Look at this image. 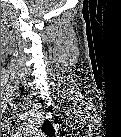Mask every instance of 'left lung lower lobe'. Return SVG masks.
<instances>
[{"mask_svg": "<svg viewBox=\"0 0 121 137\" xmlns=\"http://www.w3.org/2000/svg\"><path fill=\"white\" fill-rule=\"evenodd\" d=\"M54 131L52 133H50V135H53Z\"/></svg>", "mask_w": 121, "mask_h": 137, "instance_id": "1", "label": "left lung lower lobe"}]
</instances>
